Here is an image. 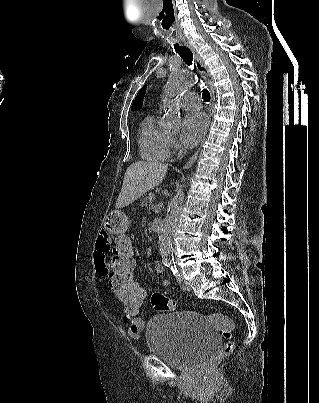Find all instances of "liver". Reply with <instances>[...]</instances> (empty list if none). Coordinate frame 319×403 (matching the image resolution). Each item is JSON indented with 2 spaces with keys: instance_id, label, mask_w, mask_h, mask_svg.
<instances>
[{
  "instance_id": "liver-1",
  "label": "liver",
  "mask_w": 319,
  "mask_h": 403,
  "mask_svg": "<svg viewBox=\"0 0 319 403\" xmlns=\"http://www.w3.org/2000/svg\"><path fill=\"white\" fill-rule=\"evenodd\" d=\"M167 164L139 161L131 164L124 175L116 209L128 206L144 193L158 186L167 172Z\"/></svg>"
}]
</instances>
